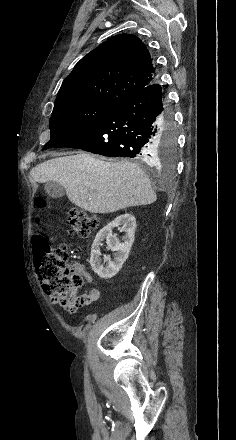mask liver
<instances>
[{
  "label": "liver",
  "mask_w": 236,
  "mask_h": 440,
  "mask_svg": "<svg viewBox=\"0 0 236 440\" xmlns=\"http://www.w3.org/2000/svg\"><path fill=\"white\" fill-rule=\"evenodd\" d=\"M30 175L38 183L61 184L68 199L90 213H112L157 199L145 172L127 160L106 162L79 153L40 163Z\"/></svg>",
  "instance_id": "6515ba94"
}]
</instances>
